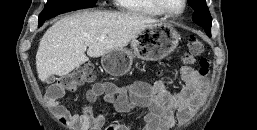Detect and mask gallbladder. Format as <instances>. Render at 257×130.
<instances>
[{
  "label": "gallbladder",
  "mask_w": 257,
  "mask_h": 130,
  "mask_svg": "<svg viewBox=\"0 0 257 130\" xmlns=\"http://www.w3.org/2000/svg\"><path fill=\"white\" fill-rule=\"evenodd\" d=\"M55 81V77L54 76H49L48 78H47V80H46V82L48 83V84H51V83H53Z\"/></svg>",
  "instance_id": "bac80fb5"
}]
</instances>
